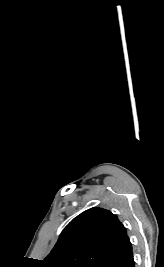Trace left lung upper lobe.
Wrapping results in <instances>:
<instances>
[{"mask_svg":"<svg viewBox=\"0 0 164 267\" xmlns=\"http://www.w3.org/2000/svg\"><path fill=\"white\" fill-rule=\"evenodd\" d=\"M127 234L110 211L94 207L75 217L62 231L43 267H102Z\"/></svg>","mask_w":164,"mask_h":267,"instance_id":"5c2ea615","label":"left lung upper lobe"}]
</instances>
